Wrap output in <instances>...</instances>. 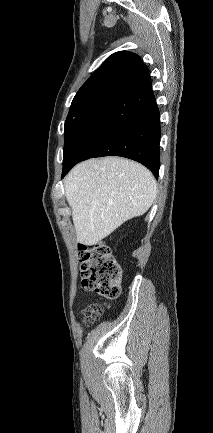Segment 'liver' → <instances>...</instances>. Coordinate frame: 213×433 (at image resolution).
I'll use <instances>...</instances> for the list:
<instances>
[{
	"label": "liver",
	"instance_id": "1",
	"mask_svg": "<svg viewBox=\"0 0 213 433\" xmlns=\"http://www.w3.org/2000/svg\"><path fill=\"white\" fill-rule=\"evenodd\" d=\"M76 238L92 246L153 204L157 183L143 165L120 157L89 159L65 177Z\"/></svg>",
	"mask_w": 213,
	"mask_h": 433
}]
</instances>
